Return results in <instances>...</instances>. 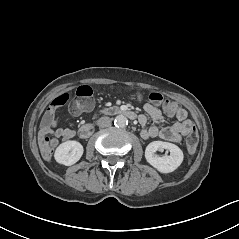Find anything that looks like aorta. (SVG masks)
I'll return each instance as SVG.
<instances>
[{
	"label": "aorta",
	"mask_w": 239,
	"mask_h": 239,
	"mask_svg": "<svg viewBox=\"0 0 239 239\" xmlns=\"http://www.w3.org/2000/svg\"><path fill=\"white\" fill-rule=\"evenodd\" d=\"M114 125L118 128H125L128 125V119L124 115H118L114 119Z\"/></svg>",
	"instance_id": "762f6f07"
}]
</instances>
